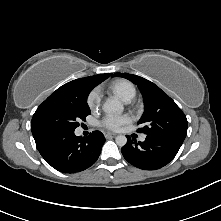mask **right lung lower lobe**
<instances>
[{"label":"right lung lower lobe","instance_id":"98d812e1","mask_svg":"<svg viewBox=\"0 0 221 221\" xmlns=\"http://www.w3.org/2000/svg\"><path fill=\"white\" fill-rule=\"evenodd\" d=\"M38 151L46 162L63 173H76L92 166L98 159L105 138L93 131L83 138L74 130H57L34 137Z\"/></svg>","mask_w":221,"mask_h":221}]
</instances>
